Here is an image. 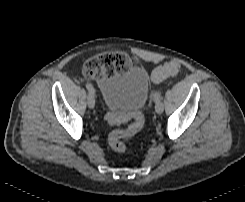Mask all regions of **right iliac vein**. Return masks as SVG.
Listing matches in <instances>:
<instances>
[{
    "instance_id": "obj_1",
    "label": "right iliac vein",
    "mask_w": 245,
    "mask_h": 202,
    "mask_svg": "<svg viewBox=\"0 0 245 202\" xmlns=\"http://www.w3.org/2000/svg\"><path fill=\"white\" fill-rule=\"evenodd\" d=\"M87 103H88L89 108L92 109L95 107V98H94V95L92 93L88 94Z\"/></svg>"
}]
</instances>
